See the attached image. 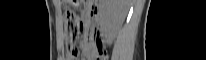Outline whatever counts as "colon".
<instances>
[{
    "instance_id": "1",
    "label": "colon",
    "mask_w": 206,
    "mask_h": 60,
    "mask_svg": "<svg viewBox=\"0 0 206 60\" xmlns=\"http://www.w3.org/2000/svg\"><path fill=\"white\" fill-rule=\"evenodd\" d=\"M65 29L67 33V48L72 55H76L75 44L80 36V22L78 20L75 12L67 8L65 10ZM96 59L97 60H107L108 54L106 49L102 44L97 40L95 45Z\"/></svg>"
}]
</instances>
